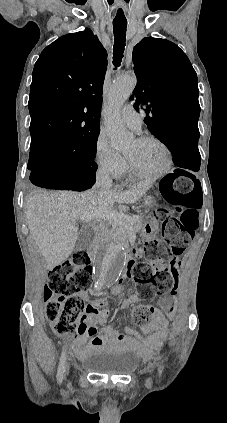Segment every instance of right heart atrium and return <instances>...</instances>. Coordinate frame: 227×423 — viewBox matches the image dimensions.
<instances>
[{
  "label": "right heart atrium",
  "mask_w": 227,
  "mask_h": 423,
  "mask_svg": "<svg viewBox=\"0 0 227 423\" xmlns=\"http://www.w3.org/2000/svg\"><path fill=\"white\" fill-rule=\"evenodd\" d=\"M94 158L98 167L114 178L122 177L127 171L126 158L112 148L108 137L103 132L96 137Z\"/></svg>",
  "instance_id": "1"
}]
</instances>
